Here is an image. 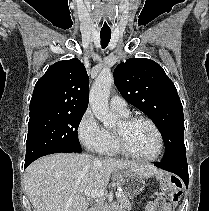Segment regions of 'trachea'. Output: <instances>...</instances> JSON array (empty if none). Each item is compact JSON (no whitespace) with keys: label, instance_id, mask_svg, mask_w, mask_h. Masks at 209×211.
Here are the masks:
<instances>
[{"label":"trachea","instance_id":"1","mask_svg":"<svg viewBox=\"0 0 209 211\" xmlns=\"http://www.w3.org/2000/svg\"><path fill=\"white\" fill-rule=\"evenodd\" d=\"M101 46L102 48H106L110 39H111V31H101Z\"/></svg>","mask_w":209,"mask_h":211}]
</instances>
